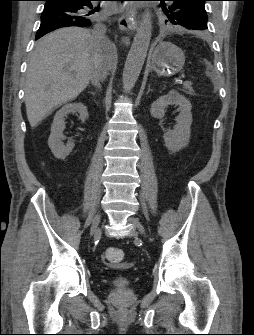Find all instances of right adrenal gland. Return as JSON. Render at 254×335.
Returning <instances> with one entry per match:
<instances>
[{
	"mask_svg": "<svg viewBox=\"0 0 254 335\" xmlns=\"http://www.w3.org/2000/svg\"><path fill=\"white\" fill-rule=\"evenodd\" d=\"M95 93H96L95 91L90 92V94H91L92 96H94Z\"/></svg>",
	"mask_w": 254,
	"mask_h": 335,
	"instance_id": "obj_1",
	"label": "right adrenal gland"
}]
</instances>
